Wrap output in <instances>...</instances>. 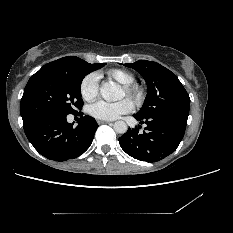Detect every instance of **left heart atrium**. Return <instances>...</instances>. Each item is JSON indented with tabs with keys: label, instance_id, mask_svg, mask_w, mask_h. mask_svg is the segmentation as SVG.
Wrapping results in <instances>:
<instances>
[{
	"label": "left heart atrium",
	"instance_id": "obj_1",
	"mask_svg": "<svg viewBox=\"0 0 233 233\" xmlns=\"http://www.w3.org/2000/svg\"><path fill=\"white\" fill-rule=\"evenodd\" d=\"M132 109L133 103L127 98L117 102L100 100L89 107V113L99 120L111 121L131 112Z\"/></svg>",
	"mask_w": 233,
	"mask_h": 233
}]
</instances>
